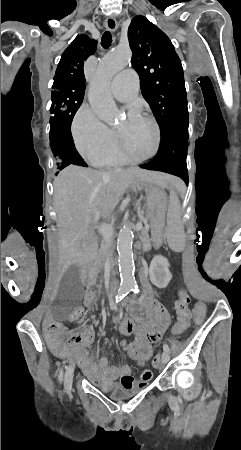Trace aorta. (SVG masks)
<instances>
[{
    "mask_svg": "<svg viewBox=\"0 0 241 450\" xmlns=\"http://www.w3.org/2000/svg\"><path fill=\"white\" fill-rule=\"evenodd\" d=\"M132 53L129 47H117L109 51L98 65L89 88V103L95 114L106 123L117 120L119 112L109 91L111 79L130 62ZM134 235L128 223L119 231L117 238L118 263L121 285L133 287L135 265L133 259Z\"/></svg>",
    "mask_w": 241,
    "mask_h": 450,
    "instance_id": "1",
    "label": "aorta"
}]
</instances>
